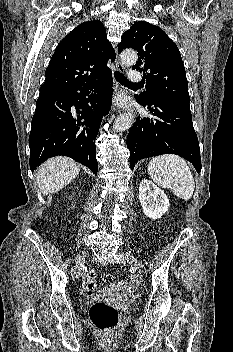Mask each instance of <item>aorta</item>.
<instances>
[{
    "label": "aorta",
    "instance_id": "762f6f07",
    "mask_svg": "<svg viewBox=\"0 0 233 352\" xmlns=\"http://www.w3.org/2000/svg\"><path fill=\"white\" fill-rule=\"evenodd\" d=\"M121 61L127 65H134L137 62V53L132 50L123 51L120 55ZM134 123V116L131 113H127L119 116L113 125L115 131H124L130 128Z\"/></svg>",
    "mask_w": 233,
    "mask_h": 352
}]
</instances>
